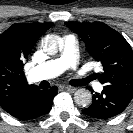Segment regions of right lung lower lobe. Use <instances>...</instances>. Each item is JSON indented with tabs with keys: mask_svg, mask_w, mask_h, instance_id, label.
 I'll use <instances>...</instances> for the list:
<instances>
[{
	"mask_svg": "<svg viewBox=\"0 0 133 133\" xmlns=\"http://www.w3.org/2000/svg\"><path fill=\"white\" fill-rule=\"evenodd\" d=\"M57 94V87L50 90L38 91L32 96L27 105L21 109L11 112L12 116L20 119H34L47 114L52 108L53 97Z\"/></svg>",
	"mask_w": 133,
	"mask_h": 133,
	"instance_id": "obj_1",
	"label": "right lung lower lobe"
}]
</instances>
